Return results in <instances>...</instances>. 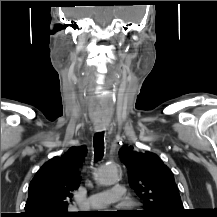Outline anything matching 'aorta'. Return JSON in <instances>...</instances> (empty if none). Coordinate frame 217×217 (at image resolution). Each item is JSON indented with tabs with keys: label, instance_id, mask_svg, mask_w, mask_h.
Returning <instances> with one entry per match:
<instances>
[{
	"label": "aorta",
	"instance_id": "762f6f07",
	"mask_svg": "<svg viewBox=\"0 0 217 217\" xmlns=\"http://www.w3.org/2000/svg\"><path fill=\"white\" fill-rule=\"evenodd\" d=\"M118 180L117 165H103L97 173V181L101 185H111Z\"/></svg>",
	"mask_w": 217,
	"mask_h": 217
}]
</instances>
